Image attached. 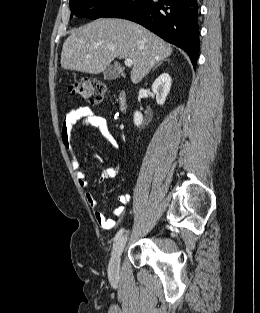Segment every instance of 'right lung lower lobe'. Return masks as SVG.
Instances as JSON below:
<instances>
[{
	"label": "right lung lower lobe",
	"instance_id": "1",
	"mask_svg": "<svg viewBox=\"0 0 260 313\" xmlns=\"http://www.w3.org/2000/svg\"><path fill=\"white\" fill-rule=\"evenodd\" d=\"M103 17L134 21L185 50L196 66L199 52L197 0H123Z\"/></svg>",
	"mask_w": 260,
	"mask_h": 313
}]
</instances>
